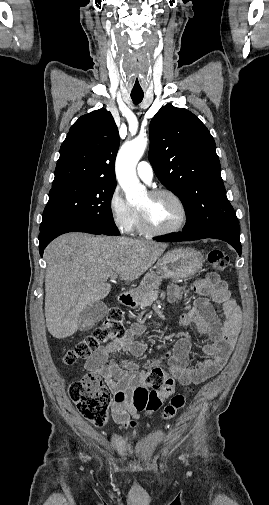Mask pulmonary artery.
Instances as JSON below:
<instances>
[{"mask_svg":"<svg viewBox=\"0 0 269 505\" xmlns=\"http://www.w3.org/2000/svg\"><path fill=\"white\" fill-rule=\"evenodd\" d=\"M137 175L146 183H150L153 179V169L149 162L141 161L137 165Z\"/></svg>","mask_w":269,"mask_h":505,"instance_id":"1","label":"pulmonary artery"}]
</instances>
